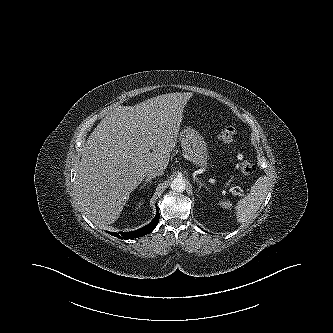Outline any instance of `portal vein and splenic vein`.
Returning a JSON list of instances; mask_svg holds the SVG:
<instances>
[{
    "instance_id": "obj_1",
    "label": "portal vein and splenic vein",
    "mask_w": 333,
    "mask_h": 333,
    "mask_svg": "<svg viewBox=\"0 0 333 333\" xmlns=\"http://www.w3.org/2000/svg\"><path fill=\"white\" fill-rule=\"evenodd\" d=\"M230 192H232L233 195H238V193L236 192V190H234V188H230Z\"/></svg>"
}]
</instances>
